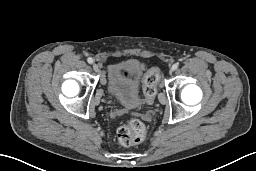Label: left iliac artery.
Segmentation results:
<instances>
[{
    "label": "left iliac artery",
    "instance_id": "44dca946",
    "mask_svg": "<svg viewBox=\"0 0 256 171\" xmlns=\"http://www.w3.org/2000/svg\"><path fill=\"white\" fill-rule=\"evenodd\" d=\"M178 68V63H175L173 66H172V69L173 70H176Z\"/></svg>",
    "mask_w": 256,
    "mask_h": 171
}]
</instances>
